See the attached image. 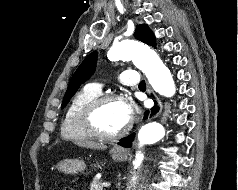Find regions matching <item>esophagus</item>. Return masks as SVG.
Listing matches in <instances>:
<instances>
[{
  "mask_svg": "<svg viewBox=\"0 0 238 190\" xmlns=\"http://www.w3.org/2000/svg\"><path fill=\"white\" fill-rule=\"evenodd\" d=\"M149 91H150V92H152V91H151V89H150V87H149ZM158 105H160V103H159V102H158Z\"/></svg>",
  "mask_w": 238,
  "mask_h": 190,
  "instance_id": "34e87169",
  "label": "esophagus"
}]
</instances>
